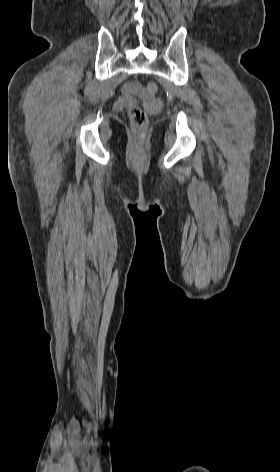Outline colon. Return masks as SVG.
I'll return each mask as SVG.
<instances>
[{
	"instance_id": "5ec220e1",
	"label": "colon",
	"mask_w": 280,
	"mask_h": 472,
	"mask_svg": "<svg viewBox=\"0 0 280 472\" xmlns=\"http://www.w3.org/2000/svg\"><path fill=\"white\" fill-rule=\"evenodd\" d=\"M145 90L147 94L153 95L158 91V86L155 82H149ZM128 115L135 132L143 134L148 125L146 113L140 107L132 105L129 107Z\"/></svg>"
}]
</instances>
